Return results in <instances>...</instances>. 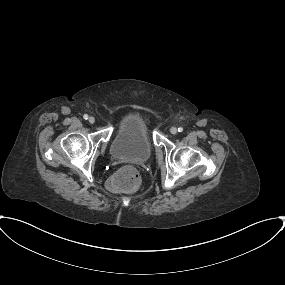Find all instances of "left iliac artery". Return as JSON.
Listing matches in <instances>:
<instances>
[{
  "label": "left iliac artery",
  "mask_w": 285,
  "mask_h": 285,
  "mask_svg": "<svg viewBox=\"0 0 285 285\" xmlns=\"http://www.w3.org/2000/svg\"><path fill=\"white\" fill-rule=\"evenodd\" d=\"M183 131V128L182 127H179L178 128V132H182Z\"/></svg>",
  "instance_id": "44dca946"
}]
</instances>
